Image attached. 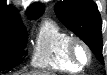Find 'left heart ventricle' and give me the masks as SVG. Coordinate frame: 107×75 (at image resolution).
I'll return each mask as SVG.
<instances>
[{"instance_id":"b2bd125f","label":"left heart ventricle","mask_w":107,"mask_h":75,"mask_svg":"<svg viewBox=\"0 0 107 75\" xmlns=\"http://www.w3.org/2000/svg\"><path fill=\"white\" fill-rule=\"evenodd\" d=\"M77 54L82 61H85L87 58L86 52L83 48L79 47L77 49Z\"/></svg>"}]
</instances>
